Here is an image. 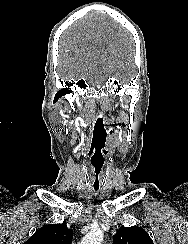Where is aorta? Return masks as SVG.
<instances>
[{"label": "aorta", "instance_id": "aorta-1", "mask_svg": "<svg viewBox=\"0 0 188 244\" xmlns=\"http://www.w3.org/2000/svg\"><path fill=\"white\" fill-rule=\"evenodd\" d=\"M103 232L99 228H92L82 239L80 244H101Z\"/></svg>", "mask_w": 188, "mask_h": 244}]
</instances>
